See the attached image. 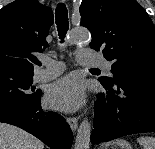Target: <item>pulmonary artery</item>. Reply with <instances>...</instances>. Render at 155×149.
I'll return each mask as SVG.
<instances>
[{
    "label": "pulmonary artery",
    "mask_w": 155,
    "mask_h": 149,
    "mask_svg": "<svg viewBox=\"0 0 155 149\" xmlns=\"http://www.w3.org/2000/svg\"><path fill=\"white\" fill-rule=\"evenodd\" d=\"M77 58L80 65L102 66L105 70L111 71V64L92 50L80 49ZM42 63L45 68L36 73L35 78L37 81L43 82L50 80L60 75L64 70L62 62L52 60L48 57H43Z\"/></svg>",
    "instance_id": "pulmonary-artery-1"
}]
</instances>
